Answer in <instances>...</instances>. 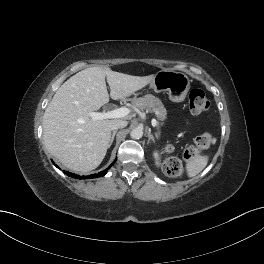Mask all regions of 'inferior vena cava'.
<instances>
[{"instance_id": "602c4592", "label": "inferior vena cava", "mask_w": 264, "mask_h": 264, "mask_svg": "<svg viewBox=\"0 0 264 264\" xmlns=\"http://www.w3.org/2000/svg\"><path fill=\"white\" fill-rule=\"evenodd\" d=\"M127 121H118L117 123H115L113 126H112V130H117V129H120V128H124L127 126Z\"/></svg>"}]
</instances>
